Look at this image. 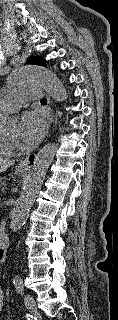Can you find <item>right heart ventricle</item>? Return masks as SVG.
<instances>
[{
	"label": "right heart ventricle",
	"instance_id": "e07e8e85",
	"mask_svg": "<svg viewBox=\"0 0 118 320\" xmlns=\"http://www.w3.org/2000/svg\"><path fill=\"white\" fill-rule=\"evenodd\" d=\"M2 114L0 113V118ZM13 152V145L8 138L0 132V156H9Z\"/></svg>",
	"mask_w": 118,
	"mask_h": 320
}]
</instances>
